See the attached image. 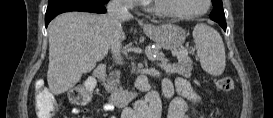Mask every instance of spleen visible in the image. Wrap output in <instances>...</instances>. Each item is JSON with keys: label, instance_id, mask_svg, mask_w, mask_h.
<instances>
[{"label": "spleen", "instance_id": "3e777b00", "mask_svg": "<svg viewBox=\"0 0 273 118\" xmlns=\"http://www.w3.org/2000/svg\"><path fill=\"white\" fill-rule=\"evenodd\" d=\"M201 67L208 74L220 76L226 66L225 47L220 34L206 24H197L193 30Z\"/></svg>", "mask_w": 273, "mask_h": 118}]
</instances>
